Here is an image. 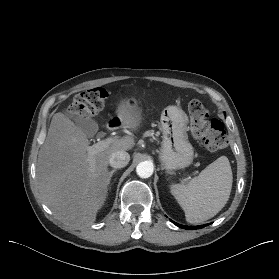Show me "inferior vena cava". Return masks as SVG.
I'll return each instance as SVG.
<instances>
[{
    "label": "inferior vena cava",
    "instance_id": "obj_1",
    "mask_svg": "<svg viewBox=\"0 0 279 279\" xmlns=\"http://www.w3.org/2000/svg\"><path fill=\"white\" fill-rule=\"evenodd\" d=\"M130 161V155L124 150H118L110 154L108 162L113 168H123Z\"/></svg>",
    "mask_w": 279,
    "mask_h": 279
}]
</instances>
